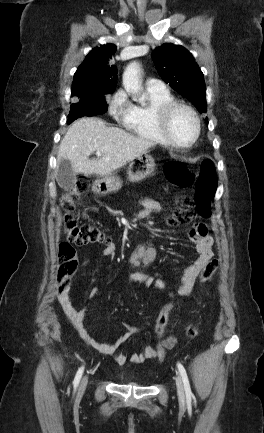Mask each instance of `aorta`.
I'll use <instances>...</instances> for the list:
<instances>
[{
  "instance_id": "aorta-1",
  "label": "aorta",
  "mask_w": 264,
  "mask_h": 433,
  "mask_svg": "<svg viewBox=\"0 0 264 433\" xmlns=\"http://www.w3.org/2000/svg\"><path fill=\"white\" fill-rule=\"evenodd\" d=\"M123 86L130 94H136L139 92V66L136 62H132L126 67L123 73Z\"/></svg>"
}]
</instances>
